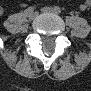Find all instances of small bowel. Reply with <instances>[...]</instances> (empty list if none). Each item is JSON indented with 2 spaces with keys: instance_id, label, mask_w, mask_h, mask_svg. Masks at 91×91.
Listing matches in <instances>:
<instances>
[{
  "instance_id": "1",
  "label": "small bowel",
  "mask_w": 91,
  "mask_h": 91,
  "mask_svg": "<svg viewBox=\"0 0 91 91\" xmlns=\"http://www.w3.org/2000/svg\"><path fill=\"white\" fill-rule=\"evenodd\" d=\"M89 5H90V3L87 2V1H85V2H83V3L81 4L80 9H81V10H85V9H87V8L89 7Z\"/></svg>"
}]
</instances>
